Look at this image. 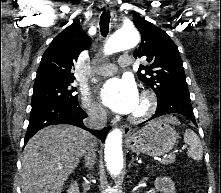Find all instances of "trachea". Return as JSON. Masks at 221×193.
Returning a JSON list of instances; mask_svg holds the SVG:
<instances>
[{
  "label": "trachea",
  "instance_id": "1",
  "mask_svg": "<svg viewBox=\"0 0 221 193\" xmlns=\"http://www.w3.org/2000/svg\"><path fill=\"white\" fill-rule=\"evenodd\" d=\"M110 12L103 11L100 17V31L103 37H106L109 32Z\"/></svg>",
  "mask_w": 221,
  "mask_h": 193
}]
</instances>
